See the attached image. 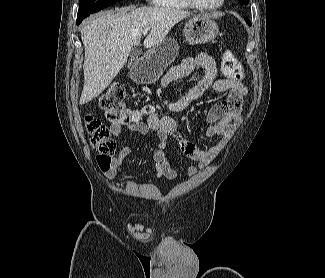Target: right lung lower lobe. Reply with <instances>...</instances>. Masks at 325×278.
Listing matches in <instances>:
<instances>
[{
    "label": "right lung lower lobe",
    "instance_id": "right-lung-lower-lobe-1",
    "mask_svg": "<svg viewBox=\"0 0 325 278\" xmlns=\"http://www.w3.org/2000/svg\"><path fill=\"white\" fill-rule=\"evenodd\" d=\"M86 17H87V16L78 17V18H77V21H76L77 25H79V24L82 22V20H83L84 18H86Z\"/></svg>",
    "mask_w": 325,
    "mask_h": 278
}]
</instances>
